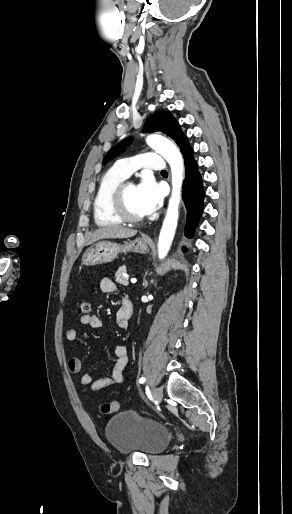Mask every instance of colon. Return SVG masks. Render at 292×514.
<instances>
[{"label": "colon", "instance_id": "colon-1", "mask_svg": "<svg viewBox=\"0 0 292 514\" xmlns=\"http://www.w3.org/2000/svg\"><path fill=\"white\" fill-rule=\"evenodd\" d=\"M91 303L89 300L84 299L80 300L77 304V313L78 315H87L90 313ZM85 391L84 389L82 390ZM119 410V402L117 400H108L102 403L101 405V413L105 415H111L116 413Z\"/></svg>", "mask_w": 292, "mask_h": 514}]
</instances>
